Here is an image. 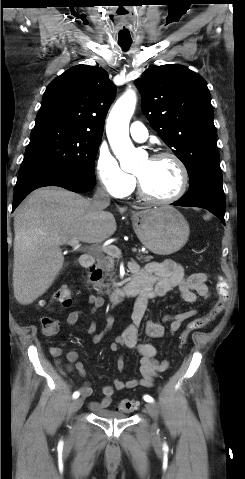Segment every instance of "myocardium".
I'll use <instances>...</instances> for the list:
<instances>
[{
	"label": "myocardium",
	"mask_w": 245,
	"mask_h": 479,
	"mask_svg": "<svg viewBox=\"0 0 245 479\" xmlns=\"http://www.w3.org/2000/svg\"><path fill=\"white\" fill-rule=\"evenodd\" d=\"M151 160H158L162 158H170L172 159L175 164L177 165L179 172H180V183L178 186V189L176 192L166 198H156L151 196L150 194L147 193L145 190L142 180L138 175H135V184H136V189L138 195L145 201L152 203V204H158V205H164V204H171L178 199H180L184 193L186 192V189L188 187V182H189V173L188 169L183 162V160L174 152L172 151H159L154 154H152L149 157Z\"/></svg>",
	"instance_id": "1"
}]
</instances>
